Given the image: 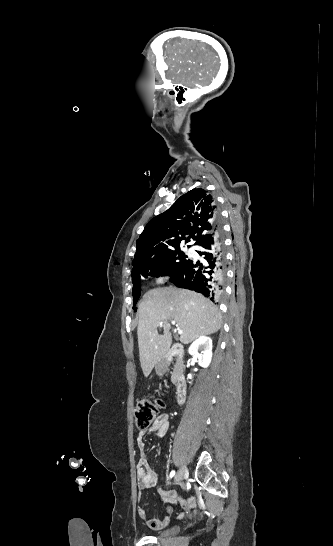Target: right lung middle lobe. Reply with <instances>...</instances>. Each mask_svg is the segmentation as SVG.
I'll list each match as a JSON object with an SVG mask.
<instances>
[{
    "mask_svg": "<svg viewBox=\"0 0 333 546\" xmlns=\"http://www.w3.org/2000/svg\"><path fill=\"white\" fill-rule=\"evenodd\" d=\"M188 260H189L188 256L185 255L184 252H181L180 249L171 250L162 255L157 266H155L154 268L140 271V272H137L135 275H132L134 305L136 304V302L138 301V298L140 297L141 276H144V277L145 276L159 277L162 275L172 276Z\"/></svg>",
    "mask_w": 333,
    "mask_h": 546,
    "instance_id": "1",
    "label": "right lung middle lobe"
}]
</instances>
